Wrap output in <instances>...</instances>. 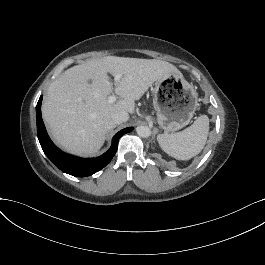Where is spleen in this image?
I'll return each mask as SVG.
<instances>
[{
    "label": "spleen",
    "mask_w": 265,
    "mask_h": 265,
    "mask_svg": "<svg viewBox=\"0 0 265 265\" xmlns=\"http://www.w3.org/2000/svg\"><path fill=\"white\" fill-rule=\"evenodd\" d=\"M208 132L206 116H200L191 126L173 134H158L157 142L170 156L189 159L203 147Z\"/></svg>",
    "instance_id": "1"
}]
</instances>
